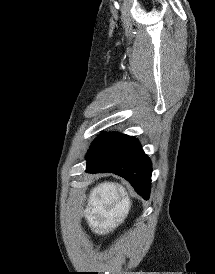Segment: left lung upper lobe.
Listing matches in <instances>:
<instances>
[{
  "label": "left lung upper lobe",
  "instance_id": "1",
  "mask_svg": "<svg viewBox=\"0 0 215 274\" xmlns=\"http://www.w3.org/2000/svg\"><path fill=\"white\" fill-rule=\"evenodd\" d=\"M112 133H103L99 135L91 144L90 149L88 150L87 155L93 152L99 145H101Z\"/></svg>",
  "mask_w": 215,
  "mask_h": 274
}]
</instances>
